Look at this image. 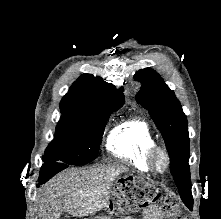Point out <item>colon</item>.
I'll return each instance as SVG.
<instances>
[{
  "instance_id": "obj_1",
  "label": "colon",
  "mask_w": 221,
  "mask_h": 219,
  "mask_svg": "<svg viewBox=\"0 0 221 219\" xmlns=\"http://www.w3.org/2000/svg\"><path fill=\"white\" fill-rule=\"evenodd\" d=\"M119 191L122 195H139L141 197L138 203L139 208H147L157 199V195H154V188L140 182L127 181L121 184Z\"/></svg>"
}]
</instances>
